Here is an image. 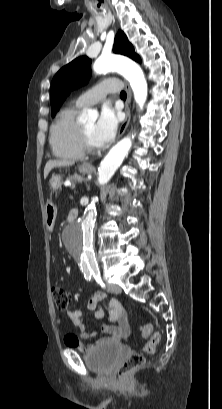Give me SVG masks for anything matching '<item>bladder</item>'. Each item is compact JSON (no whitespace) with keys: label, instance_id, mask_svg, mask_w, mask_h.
I'll return each instance as SVG.
<instances>
[{"label":"bladder","instance_id":"31cf9c89","mask_svg":"<svg viewBox=\"0 0 222 409\" xmlns=\"http://www.w3.org/2000/svg\"><path fill=\"white\" fill-rule=\"evenodd\" d=\"M122 354L121 346L109 343L93 347L84 356L86 366L97 374L108 375Z\"/></svg>","mask_w":222,"mask_h":409}]
</instances>
